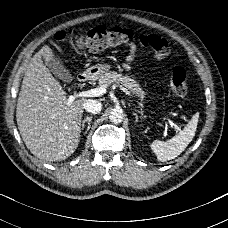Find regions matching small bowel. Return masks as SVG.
Masks as SVG:
<instances>
[{"label":"small bowel","mask_w":228,"mask_h":228,"mask_svg":"<svg viewBox=\"0 0 228 228\" xmlns=\"http://www.w3.org/2000/svg\"><path fill=\"white\" fill-rule=\"evenodd\" d=\"M139 42L143 49L149 48V43L147 42V38L145 36H140ZM126 47L128 48V54L125 59L124 68L129 70L136 56V46L133 43H127Z\"/></svg>","instance_id":"small-bowel-1"}]
</instances>
